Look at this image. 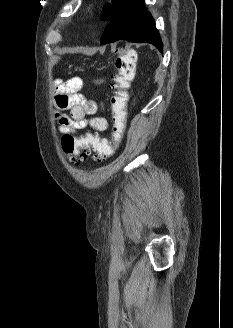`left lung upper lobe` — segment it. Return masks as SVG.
Here are the masks:
<instances>
[{"mask_svg": "<svg viewBox=\"0 0 233 328\" xmlns=\"http://www.w3.org/2000/svg\"><path fill=\"white\" fill-rule=\"evenodd\" d=\"M129 0H111V3H107L104 6V10L102 13V18L106 21H111L117 14L121 11V9L126 5Z\"/></svg>", "mask_w": 233, "mask_h": 328, "instance_id": "left-lung-upper-lobe-1", "label": "left lung upper lobe"}]
</instances>
